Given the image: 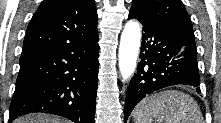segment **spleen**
Instances as JSON below:
<instances>
[{
  "label": "spleen",
  "instance_id": "3e777b00",
  "mask_svg": "<svg viewBox=\"0 0 221 123\" xmlns=\"http://www.w3.org/2000/svg\"><path fill=\"white\" fill-rule=\"evenodd\" d=\"M134 123H204L198 103L190 95L166 90L139 102L133 111Z\"/></svg>",
  "mask_w": 221,
  "mask_h": 123
}]
</instances>
